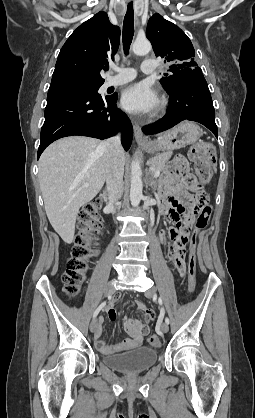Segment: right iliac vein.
<instances>
[{
	"mask_svg": "<svg viewBox=\"0 0 255 418\" xmlns=\"http://www.w3.org/2000/svg\"><path fill=\"white\" fill-rule=\"evenodd\" d=\"M115 291V286L113 282H109L106 287H105V296H111ZM98 327V320L97 319H93V321L90 324V331L91 332H95V330Z\"/></svg>",
	"mask_w": 255,
	"mask_h": 418,
	"instance_id": "obj_1",
	"label": "right iliac vein"
}]
</instances>
